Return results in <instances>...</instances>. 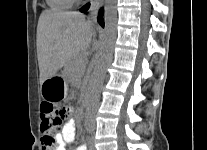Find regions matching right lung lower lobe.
<instances>
[{"instance_id":"right-lung-lower-lobe-1","label":"right lung lower lobe","mask_w":207,"mask_h":150,"mask_svg":"<svg viewBox=\"0 0 207 150\" xmlns=\"http://www.w3.org/2000/svg\"><path fill=\"white\" fill-rule=\"evenodd\" d=\"M98 22L102 27H104V21H103V18H102V11L99 12Z\"/></svg>"}]
</instances>
